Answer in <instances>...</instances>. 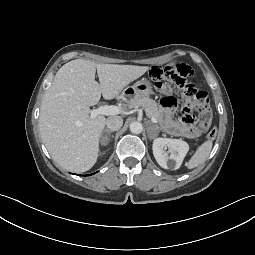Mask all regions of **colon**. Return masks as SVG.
I'll return each instance as SVG.
<instances>
[{
	"mask_svg": "<svg viewBox=\"0 0 255 255\" xmlns=\"http://www.w3.org/2000/svg\"><path fill=\"white\" fill-rule=\"evenodd\" d=\"M193 77L194 70L186 64L172 63L167 66H153L150 70V78L155 82L156 87L163 93L170 92L172 86L176 87L185 98L186 114L197 111L199 128L208 130L212 123V110L207 93L197 89L192 82ZM216 133L215 129H211L207 137L214 139Z\"/></svg>",
	"mask_w": 255,
	"mask_h": 255,
	"instance_id": "colon-1",
	"label": "colon"
}]
</instances>
